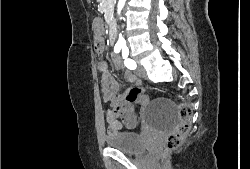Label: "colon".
<instances>
[{
    "mask_svg": "<svg viewBox=\"0 0 250 169\" xmlns=\"http://www.w3.org/2000/svg\"><path fill=\"white\" fill-rule=\"evenodd\" d=\"M103 52V41H101L100 34L95 32V42H93V53ZM138 89L128 91V95L124 96L125 100L141 101V115H139V120H144V112L148 102H150L149 95H143ZM180 96H175V101H180ZM190 99H182L181 102H177V111L180 119V126H175L168 138L165 139L166 145L165 150H162L160 166L162 169H172V164L170 163L171 150H180L181 143L184 142L185 135H188V131H192L193 122L192 120V108L188 106L190 104ZM112 115L113 117H120V103H111Z\"/></svg>",
    "mask_w": 250,
    "mask_h": 169,
    "instance_id": "obj_1",
    "label": "colon"
}]
</instances>
